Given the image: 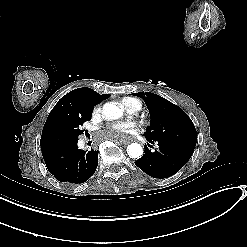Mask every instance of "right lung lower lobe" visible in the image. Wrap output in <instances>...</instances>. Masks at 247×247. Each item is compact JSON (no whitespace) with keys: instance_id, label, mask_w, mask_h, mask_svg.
I'll return each mask as SVG.
<instances>
[{"instance_id":"right-lung-lower-lobe-1","label":"right lung lower lobe","mask_w":247,"mask_h":247,"mask_svg":"<svg viewBox=\"0 0 247 247\" xmlns=\"http://www.w3.org/2000/svg\"><path fill=\"white\" fill-rule=\"evenodd\" d=\"M77 142L42 150L47 169L61 182L83 183L96 171L98 151L86 153L78 149Z\"/></svg>"}]
</instances>
